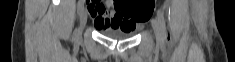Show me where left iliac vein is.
<instances>
[{
    "mask_svg": "<svg viewBox=\"0 0 235 62\" xmlns=\"http://www.w3.org/2000/svg\"><path fill=\"white\" fill-rule=\"evenodd\" d=\"M152 27H153V30H154V33H155V36H156V39H157V43L162 44L164 42V40H163V37H162V34H161L159 24L156 20L152 21Z\"/></svg>",
    "mask_w": 235,
    "mask_h": 62,
    "instance_id": "4c4485c4",
    "label": "left iliac vein"
}]
</instances>
